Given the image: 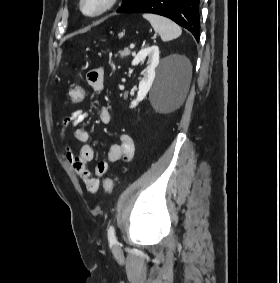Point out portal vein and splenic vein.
<instances>
[{
    "mask_svg": "<svg viewBox=\"0 0 280 283\" xmlns=\"http://www.w3.org/2000/svg\"><path fill=\"white\" fill-rule=\"evenodd\" d=\"M154 37H156V35H155ZM134 47H135L134 44H131V45H130V48H131V49H133Z\"/></svg>",
    "mask_w": 280,
    "mask_h": 283,
    "instance_id": "obj_1",
    "label": "portal vein and splenic vein"
}]
</instances>
